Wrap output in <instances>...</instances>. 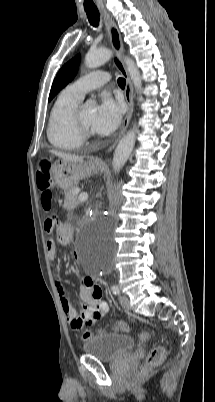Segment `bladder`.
I'll return each instance as SVG.
<instances>
[{"instance_id":"bladder-1","label":"bladder","mask_w":215,"mask_h":402,"mask_svg":"<svg viewBox=\"0 0 215 402\" xmlns=\"http://www.w3.org/2000/svg\"><path fill=\"white\" fill-rule=\"evenodd\" d=\"M135 341L131 336L103 333L92 336L83 344V351L101 361H115L131 351Z\"/></svg>"}]
</instances>
